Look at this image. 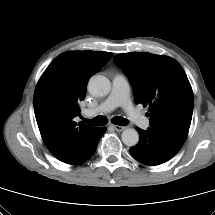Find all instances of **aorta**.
<instances>
[{"mask_svg":"<svg viewBox=\"0 0 215 215\" xmlns=\"http://www.w3.org/2000/svg\"><path fill=\"white\" fill-rule=\"evenodd\" d=\"M111 89L110 80L103 75H94L88 83L89 92L96 97H102L109 94ZM122 142L126 146H135L139 141V134L135 129L127 128L122 132Z\"/></svg>","mask_w":215,"mask_h":215,"instance_id":"aorta-1","label":"aorta"}]
</instances>
